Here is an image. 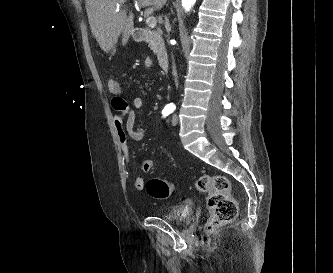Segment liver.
Masks as SVG:
<instances>
[{
    "instance_id": "6515ba94",
    "label": "liver",
    "mask_w": 333,
    "mask_h": 273,
    "mask_svg": "<svg viewBox=\"0 0 333 273\" xmlns=\"http://www.w3.org/2000/svg\"><path fill=\"white\" fill-rule=\"evenodd\" d=\"M167 0H139L140 7L153 6L160 10ZM126 0H86V11L91 31L99 46L106 53L110 52L116 45L119 36L122 34V43L125 45L133 29L134 15L127 10L120 8Z\"/></svg>"
}]
</instances>
